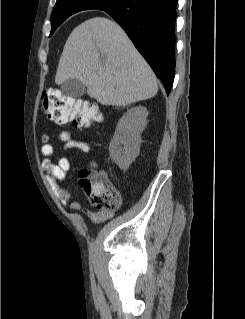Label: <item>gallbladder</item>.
I'll return each mask as SVG.
<instances>
[{"label": "gallbladder", "mask_w": 245, "mask_h": 319, "mask_svg": "<svg viewBox=\"0 0 245 319\" xmlns=\"http://www.w3.org/2000/svg\"><path fill=\"white\" fill-rule=\"evenodd\" d=\"M61 89L66 96L80 98L85 92V85L76 78H71L62 83Z\"/></svg>", "instance_id": "obj_1"}]
</instances>
